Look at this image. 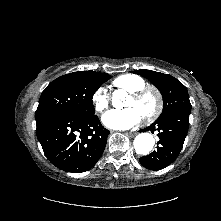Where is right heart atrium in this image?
I'll return each instance as SVG.
<instances>
[{
    "label": "right heart atrium",
    "mask_w": 221,
    "mask_h": 221,
    "mask_svg": "<svg viewBox=\"0 0 221 221\" xmlns=\"http://www.w3.org/2000/svg\"><path fill=\"white\" fill-rule=\"evenodd\" d=\"M93 108L97 113H102L109 107L110 99L104 87L98 88L92 96Z\"/></svg>",
    "instance_id": "1"
}]
</instances>
